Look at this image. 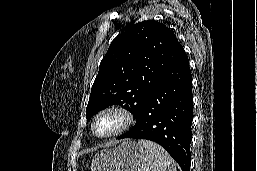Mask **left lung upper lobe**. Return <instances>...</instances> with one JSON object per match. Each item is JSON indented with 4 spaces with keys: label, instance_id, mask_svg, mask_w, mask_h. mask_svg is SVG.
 Segmentation results:
<instances>
[{
    "label": "left lung upper lobe",
    "instance_id": "1",
    "mask_svg": "<svg viewBox=\"0 0 257 171\" xmlns=\"http://www.w3.org/2000/svg\"><path fill=\"white\" fill-rule=\"evenodd\" d=\"M181 48L174 32L156 21L128 27L112 41L100 63L86 108L87 121L113 104L122 105L137 119Z\"/></svg>",
    "mask_w": 257,
    "mask_h": 171
}]
</instances>
